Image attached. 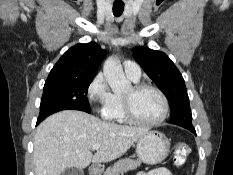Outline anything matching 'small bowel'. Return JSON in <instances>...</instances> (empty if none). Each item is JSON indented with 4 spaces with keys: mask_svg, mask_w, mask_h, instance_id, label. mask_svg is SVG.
I'll return each instance as SVG.
<instances>
[{
    "mask_svg": "<svg viewBox=\"0 0 233 175\" xmlns=\"http://www.w3.org/2000/svg\"><path fill=\"white\" fill-rule=\"evenodd\" d=\"M135 175H172V174L169 169L165 167H160L150 171H139Z\"/></svg>",
    "mask_w": 233,
    "mask_h": 175,
    "instance_id": "c3829d8e",
    "label": "small bowel"
}]
</instances>
